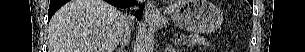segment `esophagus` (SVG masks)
Instances as JSON below:
<instances>
[{
    "instance_id": "esophagus-1",
    "label": "esophagus",
    "mask_w": 305,
    "mask_h": 52,
    "mask_svg": "<svg viewBox=\"0 0 305 52\" xmlns=\"http://www.w3.org/2000/svg\"><path fill=\"white\" fill-rule=\"evenodd\" d=\"M144 17L146 21H153L160 17L153 1H148L145 7Z\"/></svg>"
}]
</instances>
